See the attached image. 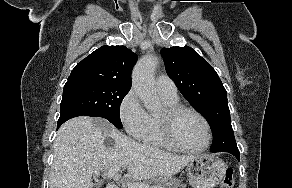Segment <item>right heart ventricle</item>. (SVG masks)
<instances>
[{"instance_id": "right-heart-ventricle-1", "label": "right heart ventricle", "mask_w": 292, "mask_h": 188, "mask_svg": "<svg viewBox=\"0 0 292 188\" xmlns=\"http://www.w3.org/2000/svg\"><path fill=\"white\" fill-rule=\"evenodd\" d=\"M162 100L167 106L178 105V98H167L160 95ZM142 141L151 146L172 148L162 137L159 125H158V115L150 114L148 127L142 136Z\"/></svg>"}]
</instances>
